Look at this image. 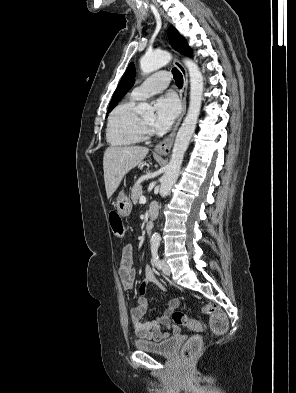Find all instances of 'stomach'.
Masks as SVG:
<instances>
[{
  "instance_id": "1",
  "label": "stomach",
  "mask_w": 296,
  "mask_h": 393,
  "mask_svg": "<svg viewBox=\"0 0 296 393\" xmlns=\"http://www.w3.org/2000/svg\"><path fill=\"white\" fill-rule=\"evenodd\" d=\"M116 207L118 214L122 217L129 216L132 211V203L123 191H121L117 197Z\"/></svg>"
}]
</instances>
